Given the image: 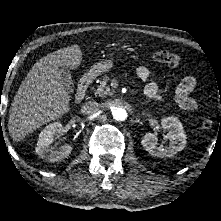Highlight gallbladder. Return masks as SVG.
I'll return each instance as SVG.
<instances>
[{
    "label": "gallbladder",
    "mask_w": 221,
    "mask_h": 221,
    "mask_svg": "<svg viewBox=\"0 0 221 221\" xmlns=\"http://www.w3.org/2000/svg\"><path fill=\"white\" fill-rule=\"evenodd\" d=\"M58 72L61 76V81L64 84V86L66 87V89L69 92H73L74 84H73V80L71 78V73H70L69 69L66 67H60L58 69Z\"/></svg>",
    "instance_id": "obj_1"
}]
</instances>
